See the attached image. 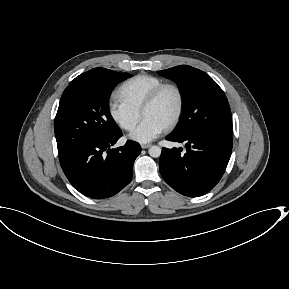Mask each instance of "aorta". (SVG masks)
<instances>
[{
	"label": "aorta",
	"instance_id": "1",
	"mask_svg": "<svg viewBox=\"0 0 289 289\" xmlns=\"http://www.w3.org/2000/svg\"><path fill=\"white\" fill-rule=\"evenodd\" d=\"M151 157L157 158L161 155V148L159 146H151L148 150Z\"/></svg>",
	"mask_w": 289,
	"mask_h": 289
}]
</instances>
